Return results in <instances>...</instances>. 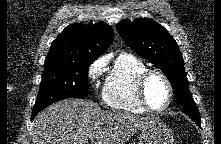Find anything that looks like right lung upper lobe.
Wrapping results in <instances>:
<instances>
[{"label":"right lung upper lobe","instance_id":"obj_1","mask_svg":"<svg viewBox=\"0 0 221 144\" xmlns=\"http://www.w3.org/2000/svg\"><path fill=\"white\" fill-rule=\"evenodd\" d=\"M113 40L114 32L108 25L73 24L51 43L45 62H93Z\"/></svg>","mask_w":221,"mask_h":144}]
</instances>
